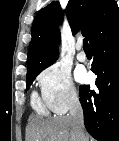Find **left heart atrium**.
<instances>
[{
	"label": "left heart atrium",
	"mask_w": 119,
	"mask_h": 141,
	"mask_svg": "<svg viewBox=\"0 0 119 141\" xmlns=\"http://www.w3.org/2000/svg\"><path fill=\"white\" fill-rule=\"evenodd\" d=\"M76 77H77V79H78L79 81L82 82V81H85V80H86L87 75H86V73H85L84 70H79V71H77Z\"/></svg>",
	"instance_id": "39dd6f15"
}]
</instances>
